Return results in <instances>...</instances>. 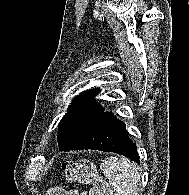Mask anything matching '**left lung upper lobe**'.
I'll return each mask as SVG.
<instances>
[{"label": "left lung upper lobe", "instance_id": "5c2ea615", "mask_svg": "<svg viewBox=\"0 0 189 195\" xmlns=\"http://www.w3.org/2000/svg\"><path fill=\"white\" fill-rule=\"evenodd\" d=\"M99 91V89H90L73 99L68 112L59 122L58 146L65 143L85 122L102 108L93 100Z\"/></svg>", "mask_w": 189, "mask_h": 195}]
</instances>
